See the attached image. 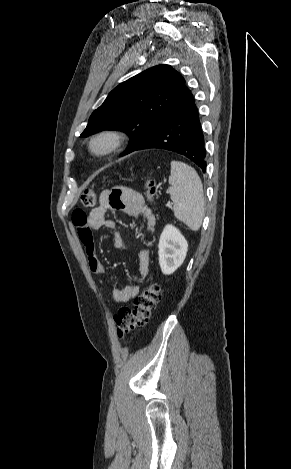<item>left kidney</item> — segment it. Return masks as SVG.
Returning <instances> with one entry per match:
<instances>
[{
	"label": "left kidney",
	"mask_w": 291,
	"mask_h": 469,
	"mask_svg": "<svg viewBox=\"0 0 291 469\" xmlns=\"http://www.w3.org/2000/svg\"><path fill=\"white\" fill-rule=\"evenodd\" d=\"M159 264L163 274L174 273L184 262L188 243L173 225H166L158 245Z\"/></svg>",
	"instance_id": "5707ae66"
}]
</instances>
